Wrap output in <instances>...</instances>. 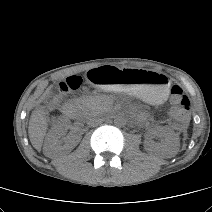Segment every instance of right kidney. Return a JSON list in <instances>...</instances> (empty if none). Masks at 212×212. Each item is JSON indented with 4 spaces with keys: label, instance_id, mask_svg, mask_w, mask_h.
Listing matches in <instances>:
<instances>
[{
    "label": "right kidney",
    "instance_id": "ca27d5eb",
    "mask_svg": "<svg viewBox=\"0 0 212 212\" xmlns=\"http://www.w3.org/2000/svg\"><path fill=\"white\" fill-rule=\"evenodd\" d=\"M64 133V128L60 123L53 126L48 133L43 147L44 154L47 157L54 158L59 155L70 152L81 140L78 134H71L70 136L61 139Z\"/></svg>",
    "mask_w": 212,
    "mask_h": 212
}]
</instances>
